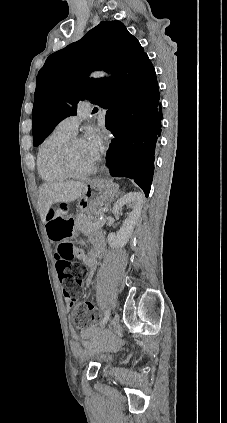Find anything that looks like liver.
<instances>
[{"instance_id":"obj_1","label":"liver","mask_w":227,"mask_h":423,"mask_svg":"<svg viewBox=\"0 0 227 423\" xmlns=\"http://www.w3.org/2000/svg\"><path fill=\"white\" fill-rule=\"evenodd\" d=\"M90 180H87V184ZM85 184L83 182H54V184H42L39 188L38 206L42 217L53 204H70L75 202L82 194Z\"/></svg>"}]
</instances>
